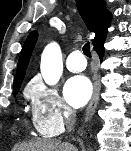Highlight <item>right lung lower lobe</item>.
I'll use <instances>...</instances> for the list:
<instances>
[{
	"mask_svg": "<svg viewBox=\"0 0 131 151\" xmlns=\"http://www.w3.org/2000/svg\"><path fill=\"white\" fill-rule=\"evenodd\" d=\"M104 41L96 46H94L96 52L98 53L99 57H100V61L102 62L103 59V54H104Z\"/></svg>",
	"mask_w": 131,
	"mask_h": 151,
	"instance_id": "1",
	"label": "right lung lower lobe"
}]
</instances>
